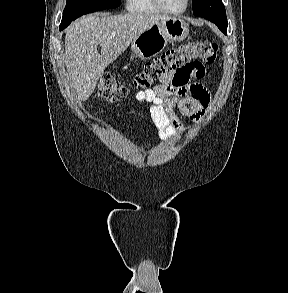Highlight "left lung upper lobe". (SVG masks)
Segmentation results:
<instances>
[{"instance_id": "5c2ea615", "label": "left lung upper lobe", "mask_w": 288, "mask_h": 293, "mask_svg": "<svg viewBox=\"0 0 288 293\" xmlns=\"http://www.w3.org/2000/svg\"><path fill=\"white\" fill-rule=\"evenodd\" d=\"M193 13L215 23L218 28L227 34V17L224 4L221 0H192Z\"/></svg>"}]
</instances>
